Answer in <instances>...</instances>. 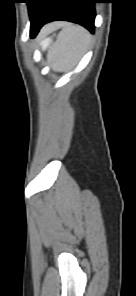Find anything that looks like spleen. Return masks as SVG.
Here are the masks:
<instances>
[{
    "label": "spleen",
    "mask_w": 136,
    "mask_h": 296,
    "mask_svg": "<svg viewBox=\"0 0 136 296\" xmlns=\"http://www.w3.org/2000/svg\"><path fill=\"white\" fill-rule=\"evenodd\" d=\"M90 35L77 25L67 26L58 37L52 49V65L57 71L70 70L84 55L90 45ZM50 39L44 40L41 45L45 49Z\"/></svg>",
    "instance_id": "1"
}]
</instances>
